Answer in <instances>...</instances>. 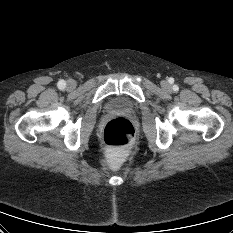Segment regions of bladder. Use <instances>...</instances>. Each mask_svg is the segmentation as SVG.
<instances>
[{"label": "bladder", "instance_id": "1", "mask_svg": "<svg viewBox=\"0 0 233 233\" xmlns=\"http://www.w3.org/2000/svg\"><path fill=\"white\" fill-rule=\"evenodd\" d=\"M108 108L111 110H129L132 108V104L126 98L115 97L108 102Z\"/></svg>", "mask_w": 233, "mask_h": 233}]
</instances>
